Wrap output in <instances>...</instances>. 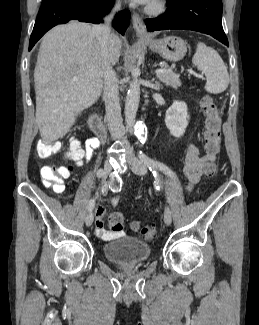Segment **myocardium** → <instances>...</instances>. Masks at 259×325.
<instances>
[{"instance_id":"1","label":"myocardium","mask_w":259,"mask_h":325,"mask_svg":"<svg viewBox=\"0 0 259 325\" xmlns=\"http://www.w3.org/2000/svg\"><path fill=\"white\" fill-rule=\"evenodd\" d=\"M166 10L165 0H154L146 9V12L153 16H158Z\"/></svg>"}]
</instances>
